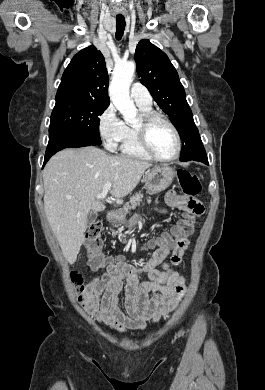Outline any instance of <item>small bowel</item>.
Segmentation results:
<instances>
[{
	"mask_svg": "<svg viewBox=\"0 0 265 390\" xmlns=\"http://www.w3.org/2000/svg\"><path fill=\"white\" fill-rule=\"evenodd\" d=\"M166 203L184 211L185 216H200L204 210L197 198L174 191L167 193ZM188 246L187 237L180 236L179 226H175L171 232H164L147 243L146 247L153 253L141 267L129 264L122 256L107 258L105 273L88 286L90 300L84 310L98 323L119 332L142 330L147 323L166 317L177 307L186 289L185 278L170 264L179 265ZM158 266L163 269L159 270ZM140 274H146L149 281L140 283ZM123 289L126 313L118 305ZM150 293L154 295L149 297Z\"/></svg>",
	"mask_w": 265,
	"mask_h": 390,
	"instance_id": "obj_1",
	"label": "small bowel"
}]
</instances>
